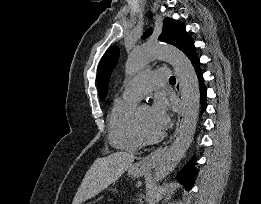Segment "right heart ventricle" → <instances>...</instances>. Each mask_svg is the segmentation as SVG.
Segmentation results:
<instances>
[{
  "mask_svg": "<svg viewBox=\"0 0 261 204\" xmlns=\"http://www.w3.org/2000/svg\"><path fill=\"white\" fill-rule=\"evenodd\" d=\"M136 102L135 100L119 97L113 102L108 116L110 144L127 152H136L145 143L135 125L133 110Z\"/></svg>",
  "mask_w": 261,
  "mask_h": 204,
  "instance_id": "1",
  "label": "right heart ventricle"
}]
</instances>
